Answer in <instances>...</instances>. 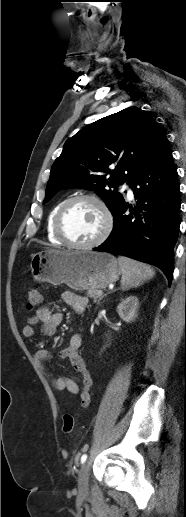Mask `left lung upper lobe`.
<instances>
[{
	"instance_id": "5c2ea615",
	"label": "left lung upper lobe",
	"mask_w": 186,
	"mask_h": 517,
	"mask_svg": "<svg viewBox=\"0 0 186 517\" xmlns=\"http://www.w3.org/2000/svg\"><path fill=\"white\" fill-rule=\"evenodd\" d=\"M164 138L156 121L136 107L97 120L65 142L53 163L43 203L62 189L87 188L95 190L114 215L125 200L105 186L129 182Z\"/></svg>"
}]
</instances>
